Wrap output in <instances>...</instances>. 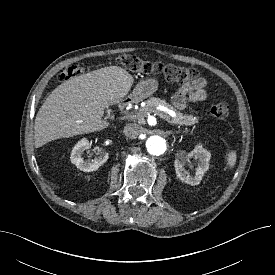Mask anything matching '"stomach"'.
Returning a JSON list of instances; mask_svg holds the SVG:
<instances>
[{"instance_id":"0dacf381","label":"stomach","mask_w":275,"mask_h":275,"mask_svg":"<svg viewBox=\"0 0 275 275\" xmlns=\"http://www.w3.org/2000/svg\"><path fill=\"white\" fill-rule=\"evenodd\" d=\"M157 89L158 81L156 79L142 80L134 88L131 97L135 100H142L151 96Z\"/></svg>"}]
</instances>
